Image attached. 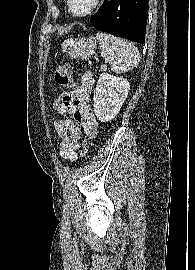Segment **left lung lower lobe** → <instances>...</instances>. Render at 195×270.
Returning a JSON list of instances; mask_svg holds the SVG:
<instances>
[{"instance_id": "obj_1", "label": "left lung lower lobe", "mask_w": 195, "mask_h": 270, "mask_svg": "<svg viewBox=\"0 0 195 270\" xmlns=\"http://www.w3.org/2000/svg\"><path fill=\"white\" fill-rule=\"evenodd\" d=\"M148 0H104L90 19L93 27L134 42H145Z\"/></svg>"}]
</instances>
